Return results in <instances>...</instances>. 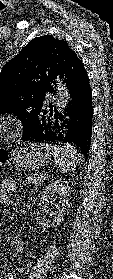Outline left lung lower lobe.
Returning a JSON list of instances; mask_svg holds the SVG:
<instances>
[{
  "mask_svg": "<svg viewBox=\"0 0 113 279\" xmlns=\"http://www.w3.org/2000/svg\"><path fill=\"white\" fill-rule=\"evenodd\" d=\"M57 76L64 79L70 100L63 112H59L46 92L55 95L50 85L43 94L42 105L35 110L32 128L23 134L22 140L37 143H65L74 146L88 157L92 134V93L82 61L72 52ZM55 88L56 82H53Z\"/></svg>",
  "mask_w": 113,
  "mask_h": 279,
  "instance_id": "1",
  "label": "left lung lower lobe"
}]
</instances>
